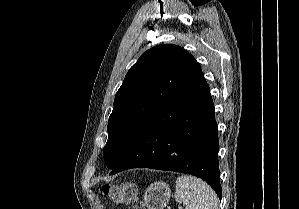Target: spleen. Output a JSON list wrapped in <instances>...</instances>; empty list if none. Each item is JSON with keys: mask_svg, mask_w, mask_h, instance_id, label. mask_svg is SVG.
Segmentation results:
<instances>
[{"mask_svg": "<svg viewBox=\"0 0 299 209\" xmlns=\"http://www.w3.org/2000/svg\"><path fill=\"white\" fill-rule=\"evenodd\" d=\"M175 200L185 209H218L214 190L199 178L182 175L176 180Z\"/></svg>", "mask_w": 299, "mask_h": 209, "instance_id": "obj_1", "label": "spleen"}]
</instances>
